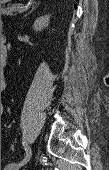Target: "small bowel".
Listing matches in <instances>:
<instances>
[{
  "label": "small bowel",
  "mask_w": 109,
  "mask_h": 170,
  "mask_svg": "<svg viewBox=\"0 0 109 170\" xmlns=\"http://www.w3.org/2000/svg\"><path fill=\"white\" fill-rule=\"evenodd\" d=\"M2 42L4 43V42H5V40H4V39H2Z\"/></svg>",
  "instance_id": "c3829d8e"
}]
</instances>
